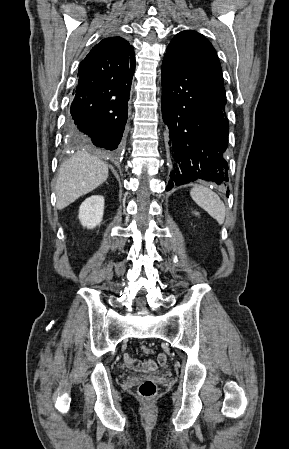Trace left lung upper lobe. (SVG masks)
<instances>
[{"label": "left lung upper lobe", "instance_id": "5c2ea615", "mask_svg": "<svg viewBox=\"0 0 289 449\" xmlns=\"http://www.w3.org/2000/svg\"><path fill=\"white\" fill-rule=\"evenodd\" d=\"M167 53L195 60L206 66L223 81L217 53L212 44L200 33L192 30L178 33L170 42Z\"/></svg>", "mask_w": 289, "mask_h": 449}]
</instances>
